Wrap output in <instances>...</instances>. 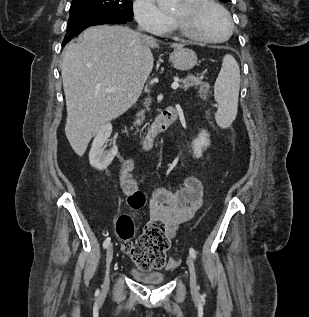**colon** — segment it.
<instances>
[{"label": "colon", "mask_w": 309, "mask_h": 317, "mask_svg": "<svg viewBox=\"0 0 309 317\" xmlns=\"http://www.w3.org/2000/svg\"><path fill=\"white\" fill-rule=\"evenodd\" d=\"M208 84L200 87L202 98H207ZM146 197L141 191H135L128 197V205L134 210L141 209ZM117 236L122 240L125 251L132 261L144 271L173 267L178 263L176 259L167 260L166 252L170 247V240L164 224L158 220H150L144 227L139 238V244L132 243L135 234L133 221L129 216H120L115 225Z\"/></svg>", "instance_id": "obj_1"}]
</instances>
